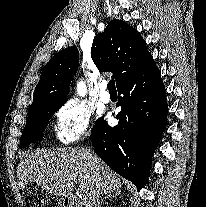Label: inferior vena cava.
<instances>
[{
	"mask_svg": "<svg viewBox=\"0 0 206 207\" xmlns=\"http://www.w3.org/2000/svg\"><path fill=\"white\" fill-rule=\"evenodd\" d=\"M99 193H96L93 198L88 202V207H97L99 205Z\"/></svg>",
	"mask_w": 206,
	"mask_h": 207,
	"instance_id": "602c4592",
	"label": "inferior vena cava"
}]
</instances>
